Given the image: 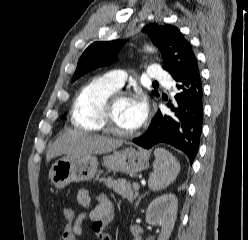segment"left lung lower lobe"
Segmentation results:
<instances>
[{
  "label": "left lung lower lobe",
  "mask_w": 248,
  "mask_h": 240,
  "mask_svg": "<svg viewBox=\"0 0 248 240\" xmlns=\"http://www.w3.org/2000/svg\"><path fill=\"white\" fill-rule=\"evenodd\" d=\"M174 80L179 93L175 95L176 102L168 105L172 113L167 115L158 110L146 133L133 142L146 149L170 144L181 150L192 164L203 124V88L197 59Z\"/></svg>",
  "instance_id": "0a47b994"
}]
</instances>
